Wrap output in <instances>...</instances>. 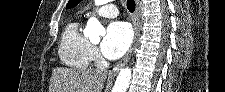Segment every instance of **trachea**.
<instances>
[{"mask_svg":"<svg viewBox=\"0 0 225 92\" xmlns=\"http://www.w3.org/2000/svg\"><path fill=\"white\" fill-rule=\"evenodd\" d=\"M127 8L129 12L133 13L135 11V2L134 0H127Z\"/></svg>","mask_w":225,"mask_h":92,"instance_id":"3493384b","label":"trachea"}]
</instances>
